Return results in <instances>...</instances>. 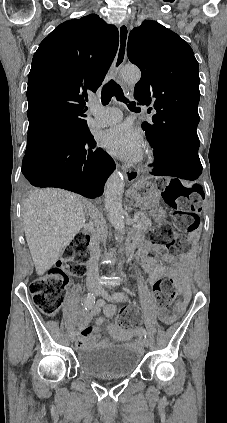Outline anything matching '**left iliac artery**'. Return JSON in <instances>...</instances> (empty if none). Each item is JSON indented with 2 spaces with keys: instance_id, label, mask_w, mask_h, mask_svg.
<instances>
[{
  "instance_id": "obj_1",
  "label": "left iliac artery",
  "mask_w": 227,
  "mask_h": 423,
  "mask_svg": "<svg viewBox=\"0 0 227 423\" xmlns=\"http://www.w3.org/2000/svg\"><path fill=\"white\" fill-rule=\"evenodd\" d=\"M113 298H114L115 300H118V301H124V300H125V295H124L123 293L118 292V293H115V294L113 295ZM142 332H143V336H144L145 338H148L147 331H146L144 328L142 329Z\"/></svg>"
}]
</instances>
